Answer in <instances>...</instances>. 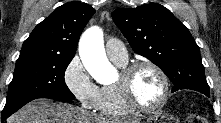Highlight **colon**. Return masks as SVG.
I'll return each mask as SVG.
<instances>
[{"instance_id": "1", "label": "colon", "mask_w": 221, "mask_h": 123, "mask_svg": "<svg viewBox=\"0 0 221 123\" xmlns=\"http://www.w3.org/2000/svg\"><path fill=\"white\" fill-rule=\"evenodd\" d=\"M184 123H206V120L197 113H190L185 117Z\"/></svg>"}]
</instances>
